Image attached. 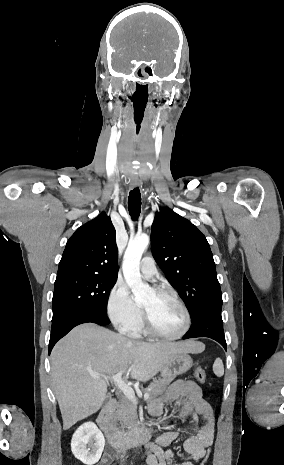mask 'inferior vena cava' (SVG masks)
Instances as JSON below:
<instances>
[{"label": "inferior vena cava", "mask_w": 284, "mask_h": 465, "mask_svg": "<svg viewBox=\"0 0 284 465\" xmlns=\"http://www.w3.org/2000/svg\"><path fill=\"white\" fill-rule=\"evenodd\" d=\"M118 415H119L120 419H122V417H123V411H122V409H119ZM124 453H125V451H124Z\"/></svg>", "instance_id": "1"}]
</instances>
